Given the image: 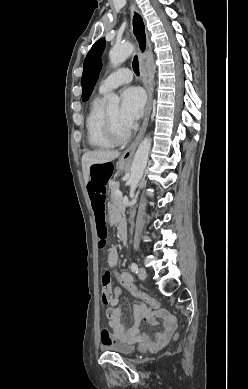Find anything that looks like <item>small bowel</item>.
Wrapping results in <instances>:
<instances>
[{
    "instance_id": "c3829d8e",
    "label": "small bowel",
    "mask_w": 248,
    "mask_h": 389,
    "mask_svg": "<svg viewBox=\"0 0 248 389\" xmlns=\"http://www.w3.org/2000/svg\"><path fill=\"white\" fill-rule=\"evenodd\" d=\"M117 257V249L113 247L108 255V262L110 266L116 265ZM119 274L121 277H128L129 281H132L133 284H136L134 278L129 273L121 271ZM112 293L113 291L111 292L110 300L107 302L111 305V307L106 311V316L108 318L109 326L111 327L112 332H109L106 329L102 330V344L111 343L114 339H118L121 341L138 342L144 348L154 350L168 342L176 326V321L170 313L164 310L152 313L147 306L142 303H137L133 308L132 324L130 327H127L122 322V310L117 307L121 298H113ZM159 320L162 321V327L160 330L155 332L154 335H151L140 329V324L142 321H146L154 326H158L160 324Z\"/></svg>"
}]
</instances>
